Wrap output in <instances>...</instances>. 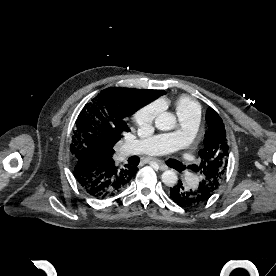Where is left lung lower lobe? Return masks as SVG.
<instances>
[{
	"mask_svg": "<svg viewBox=\"0 0 276 276\" xmlns=\"http://www.w3.org/2000/svg\"><path fill=\"white\" fill-rule=\"evenodd\" d=\"M169 194L175 203L185 208L199 206L212 195L210 189L205 185L187 188L181 181L170 188Z\"/></svg>",
	"mask_w": 276,
	"mask_h": 276,
	"instance_id": "0a47b994",
	"label": "left lung lower lobe"
}]
</instances>
